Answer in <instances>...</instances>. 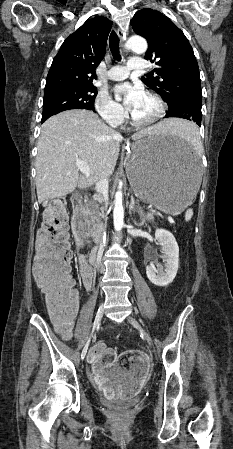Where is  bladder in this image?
<instances>
[{"mask_svg": "<svg viewBox=\"0 0 233 449\" xmlns=\"http://www.w3.org/2000/svg\"><path fill=\"white\" fill-rule=\"evenodd\" d=\"M137 399H123V400H112L109 401L112 408L116 409H126L133 406L136 403Z\"/></svg>", "mask_w": 233, "mask_h": 449, "instance_id": "1", "label": "bladder"}]
</instances>
